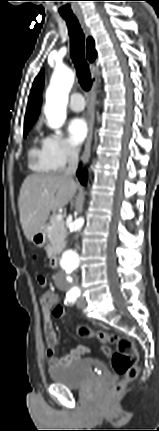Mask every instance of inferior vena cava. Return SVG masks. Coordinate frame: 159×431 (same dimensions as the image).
<instances>
[{
    "instance_id": "inferior-vena-cava-1",
    "label": "inferior vena cava",
    "mask_w": 159,
    "mask_h": 431,
    "mask_svg": "<svg viewBox=\"0 0 159 431\" xmlns=\"http://www.w3.org/2000/svg\"><path fill=\"white\" fill-rule=\"evenodd\" d=\"M79 161V152L73 146L68 147V167L64 173L65 177L72 178L75 174Z\"/></svg>"
}]
</instances>
